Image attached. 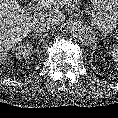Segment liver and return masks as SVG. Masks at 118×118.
Listing matches in <instances>:
<instances>
[{"instance_id":"obj_1","label":"liver","mask_w":118,"mask_h":118,"mask_svg":"<svg viewBox=\"0 0 118 118\" xmlns=\"http://www.w3.org/2000/svg\"><path fill=\"white\" fill-rule=\"evenodd\" d=\"M32 1L37 2L38 0ZM47 1L39 0V4L45 9V14L48 17L55 18L59 23L61 21L60 17L52 14L56 9L68 4L71 0H53L49 5L46 4ZM38 18L39 14L35 17L24 14L16 0H0V65L7 61L9 51L20 44L35 28Z\"/></svg>"}]
</instances>
